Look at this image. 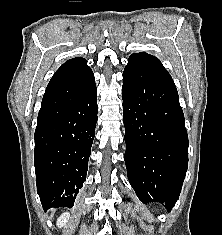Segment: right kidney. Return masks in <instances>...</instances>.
<instances>
[{
    "instance_id": "obj_1",
    "label": "right kidney",
    "mask_w": 222,
    "mask_h": 235,
    "mask_svg": "<svg viewBox=\"0 0 222 235\" xmlns=\"http://www.w3.org/2000/svg\"><path fill=\"white\" fill-rule=\"evenodd\" d=\"M69 217H70V214L68 212L61 214V216L57 219V226L59 228L65 226L69 220Z\"/></svg>"
}]
</instances>
